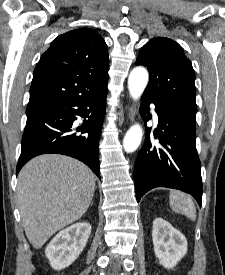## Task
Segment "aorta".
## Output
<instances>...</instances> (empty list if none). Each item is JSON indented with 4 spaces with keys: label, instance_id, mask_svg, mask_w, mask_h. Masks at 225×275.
<instances>
[{
    "label": "aorta",
    "instance_id": "aorta-1",
    "mask_svg": "<svg viewBox=\"0 0 225 275\" xmlns=\"http://www.w3.org/2000/svg\"><path fill=\"white\" fill-rule=\"evenodd\" d=\"M149 79L147 70L143 67L134 68L128 78V89L133 99H139L144 92ZM143 132L139 124H135L127 131L123 147L127 153L134 152L140 145Z\"/></svg>",
    "mask_w": 225,
    "mask_h": 275
}]
</instances>
